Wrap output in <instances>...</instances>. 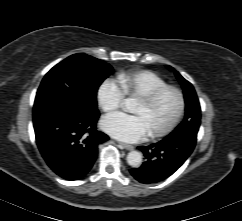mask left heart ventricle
Masks as SVG:
<instances>
[{"mask_svg":"<svg viewBox=\"0 0 242 221\" xmlns=\"http://www.w3.org/2000/svg\"><path fill=\"white\" fill-rule=\"evenodd\" d=\"M177 109V98L173 93H166L152 105L138 100L133 112L144 118L149 131L167 124Z\"/></svg>","mask_w":242,"mask_h":221,"instance_id":"left-heart-ventricle-1","label":"left heart ventricle"}]
</instances>
